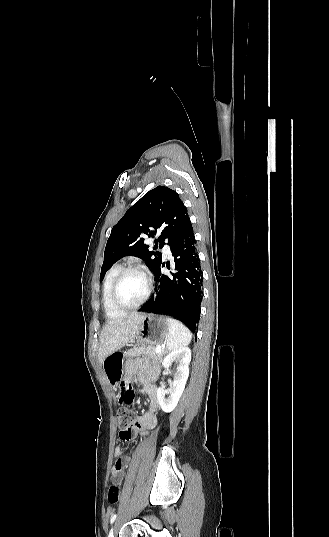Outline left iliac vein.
Segmentation results:
<instances>
[{
    "instance_id": "1",
    "label": "left iliac vein",
    "mask_w": 329,
    "mask_h": 537,
    "mask_svg": "<svg viewBox=\"0 0 329 537\" xmlns=\"http://www.w3.org/2000/svg\"><path fill=\"white\" fill-rule=\"evenodd\" d=\"M108 537H114V530L113 529L110 530V532L108 534Z\"/></svg>"
}]
</instances>
